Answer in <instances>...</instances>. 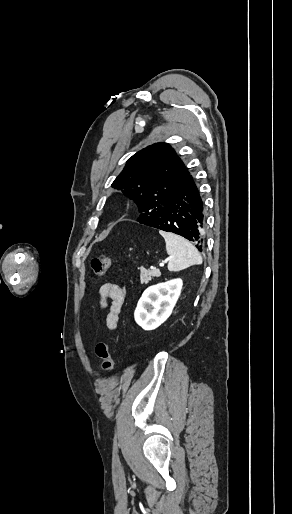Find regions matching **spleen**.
Segmentation results:
<instances>
[{"mask_svg": "<svg viewBox=\"0 0 292 514\" xmlns=\"http://www.w3.org/2000/svg\"><path fill=\"white\" fill-rule=\"evenodd\" d=\"M159 234L163 236L166 242V252L170 258L168 262L169 272H180V270H185L189 266L202 264V258L198 250L188 240L176 236V234H171V232H162V230Z\"/></svg>", "mask_w": 292, "mask_h": 514, "instance_id": "3e777b00", "label": "spleen"}]
</instances>
